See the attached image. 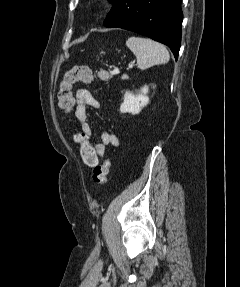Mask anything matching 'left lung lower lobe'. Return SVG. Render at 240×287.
I'll use <instances>...</instances> for the list:
<instances>
[{
  "mask_svg": "<svg viewBox=\"0 0 240 287\" xmlns=\"http://www.w3.org/2000/svg\"><path fill=\"white\" fill-rule=\"evenodd\" d=\"M104 26L134 31L169 46L178 59L183 13L181 0H113Z\"/></svg>",
  "mask_w": 240,
  "mask_h": 287,
  "instance_id": "left-lung-lower-lobe-1",
  "label": "left lung lower lobe"
}]
</instances>
